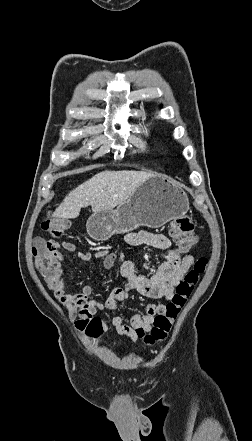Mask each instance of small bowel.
Masks as SVG:
<instances>
[{
    "label": "small bowel",
    "instance_id": "small-bowel-1",
    "mask_svg": "<svg viewBox=\"0 0 252 441\" xmlns=\"http://www.w3.org/2000/svg\"><path fill=\"white\" fill-rule=\"evenodd\" d=\"M126 240L131 245L145 244L165 251L163 263L153 274L145 276L139 274L135 264L130 260H125L120 252L100 251L95 254L77 252V246L74 243L63 242L61 244L64 250L76 253V256L83 263H89L93 259H103V267L109 270L116 261H119L121 263L120 273L126 280L125 286L114 288L105 302L90 298L93 290L89 285H84L80 293H65V278L62 274L57 283L47 281L48 287L53 291L56 300L68 311L69 319L78 331L84 330L98 311L106 310L113 314L111 323L118 334L136 341L138 339L136 334L138 329L145 332L151 331L155 316L162 314L167 304L161 302V300L167 302L171 300L177 285L194 263L192 254L181 256L178 251L171 247L169 238L163 234L139 231L128 234ZM58 256L60 259L61 255L59 253ZM131 290H136L140 294L158 301L148 304L144 312H134L126 315L129 324H125V317L118 315L116 310L118 305L128 298V293Z\"/></svg>",
    "mask_w": 252,
    "mask_h": 441
}]
</instances>
